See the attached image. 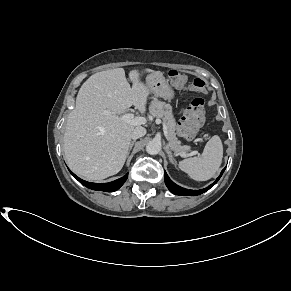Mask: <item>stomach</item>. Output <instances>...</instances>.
Instances as JSON below:
<instances>
[{
	"mask_svg": "<svg viewBox=\"0 0 291 291\" xmlns=\"http://www.w3.org/2000/svg\"><path fill=\"white\" fill-rule=\"evenodd\" d=\"M146 85L150 93L155 97L171 100L174 92L162 73H152L146 78Z\"/></svg>",
	"mask_w": 291,
	"mask_h": 291,
	"instance_id": "0dacf381",
	"label": "stomach"
}]
</instances>
